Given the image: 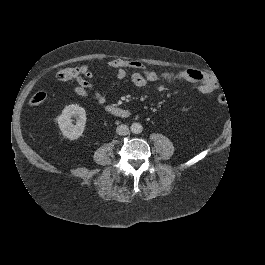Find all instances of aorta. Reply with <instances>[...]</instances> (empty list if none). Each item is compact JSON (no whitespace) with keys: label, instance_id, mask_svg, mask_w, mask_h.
<instances>
[{"label":"aorta","instance_id":"aorta-1","mask_svg":"<svg viewBox=\"0 0 265 265\" xmlns=\"http://www.w3.org/2000/svg\"><path fill=\"white\" fill-rule=\"evenodd\" d=\"M130 128H131L132 133L134 134H139L143 130V127L140 123H133Z\"/></svg>","mask_w":265,"mask_h":265}]
</instances>
